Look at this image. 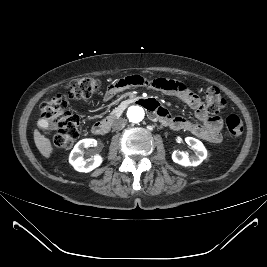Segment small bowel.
I'll return each mask as SVG.
<instances>
[{
    "mask_svg": "<svg viewBox=\"0 0 267 267\" xmlns=\"http://www.w3.org/2000/svg\"><path fill=\"white\" fill-rule=\"evenodd\" d=\"M140 85H148L166 94L174 95L190 107L199 123H193L181 116H171L169 112L156 104V115L160 121L174 130H185L210 143H219L222 140L223 121L220 117L209 113L200 97L184 83L158 78L147 81L141 76H127L114 81L108 86L105 100H110L117 93Z\"/></svg>",
    "mask_w": 267,
    "mask_h": 267,
    "instance_id": "1",
    "label": "small bowel"
}]
</instances>
